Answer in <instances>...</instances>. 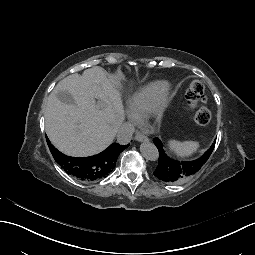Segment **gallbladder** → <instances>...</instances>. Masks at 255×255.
Masks as SVG:
<instances>
[{
    "label": "gallbladder",
    "mask_w": 255,
    "mask_h": 255,
    "mask_svg": "<svg viewBox=\"0 0 255 255\" xmlns=\"http://www.w3.org/2000/svg\"><path fill=\"white\" fill-rule=\"evenodd\" d=\"M56 97L62 102V103H65V104H68V105H76L75 103V100L73 98V96L68 92V91H59L57 94H56Z\"/></svg>",
    "instance_id": "bac80fb5"
}]
</instances>
